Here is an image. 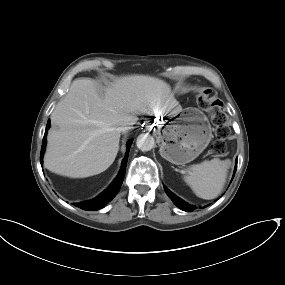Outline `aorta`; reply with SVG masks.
Listing matches in <instances>:
<instances>
[{"mask_svg": "<svg viewBox=\"0 0 285 285\" xmlns=\"http://www.w3.org/2000/svg\"><path fill=\"white\" fill-rule=\"evenodd\" d=\"M136 145L141 151H150L154 146V138L149 134H140L137 137Z\"/></svg>", "mask_w": 285, "mask_h": 285, "instance_id": "1", "label": "aorta"}]
</instances>
